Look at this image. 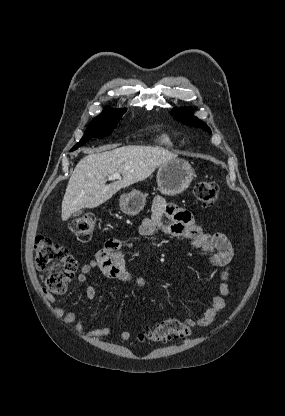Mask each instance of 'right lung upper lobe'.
Segmentation results:
<instances>
[{"label": "right lung upper lobe", "mask_w": 285, "mask_h": 416, "mask_svg": "<svg viewBox=\"0 0 285 416\" xmlns=\"http://www.w3.org/2000/svg\"><path fill=\"white\" fill-rule=\"evenodd\" d=\"M104 110H107V111H120V110H124V109H112L110 107H106Z\"/></svg>", "instance_id": "1"}]
</instances>
